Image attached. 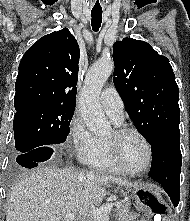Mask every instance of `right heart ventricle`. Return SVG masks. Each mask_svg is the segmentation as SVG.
I'll use <instances>...</instances> for the list:
<instances>
[{
	"label": "right heart ventricle",
	"instance_id": "1",
	"mask_svg": "<svg viewBox=\"0 0 190 221\" xmlns=\"http://www.w3.org/2000/svg\"><path fill=\"white\" fill-rule=\"evenodd\" d=\"M87 164L98 171L122 173L123 171L112 160L105 139H97V148Z\"/></svg>",
	"mask_w": 190,
	"mask_h": 221
}]
</instances>
